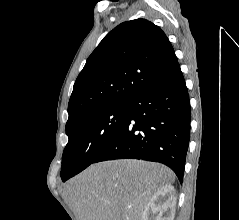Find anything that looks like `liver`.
Returning <instances> with one entry per match:
<instances>
[{"instance_id": "1", "label": "liver", "mask_w": 239, "mask_h": 220, "mask_svg": "<svg viewBox=\"0 0 239 220\" xmlns=\"http://www.w3.org/2000/svg\"><path fill=\"white\" fill-rule=\"evenodd\" d=\"M175 180L159 163L121 159L92 164L65 185L77 220H142L153 194Z\"/></svg>"}]
</instances>
